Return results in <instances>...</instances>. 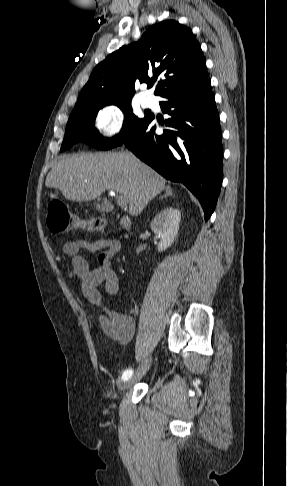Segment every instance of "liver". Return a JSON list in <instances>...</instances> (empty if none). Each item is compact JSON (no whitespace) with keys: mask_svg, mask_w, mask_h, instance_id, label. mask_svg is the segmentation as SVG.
<instances>
[{"mask_svg":"<svg viewBox=\"0 0 287 486\" xmlns=\"http://www.w3.org/2000/svg\"><path fill=\"white\" fill-rule=\"evenodd\" d=\"M165 184L163 177L127 151L64 156L45 182L77 202L96 199L106 190L115 191L126 197L133 216L141 214Z\"/></svg>","mask_w":287,"mask_h":486,"instance_id":"6515ba94","label":"liver"}]
</instances>
